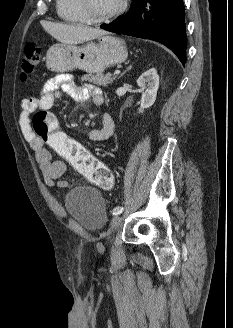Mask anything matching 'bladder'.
<instances>
[{
  "instance_id": "1",
  "label": "bladder",
  "mask_w": 233,
  "mask_h": 328,
  "mask_svg": "<svg viewBox=\"0 0 233 328\" xmlns=\"http://www.w3.org/2000/svg\"><path fill=\"white\" fill-rule=\"evenodd\" d=\"M68 214L84 229L95 231L106 223L105 203L95 189L79 186L71 189L64 197Z\"/></svg>"
}]
</instances>
